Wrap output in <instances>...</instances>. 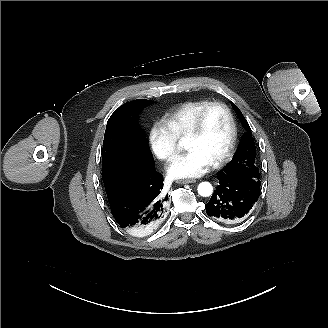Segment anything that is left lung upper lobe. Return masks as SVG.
I'll use <instances>...</instances> for the list:
<instances>
[{"label": "left lung upper lobe", "mask_w": 328, "mask_h": 328, "mask_svg": "<svg viewBox=\"0 0 328 328\" xmlns=\"http://www.w3.org/2000/svg\"><path fill=\"white\" fill-rule=\"evenodd\" d=\"M232 106L239 116L241 123L248 131L237 148L233 159L222 171L225 173L245 174L259 178V170L255 161L256 149L252 138L251 129L238 107L233 103Z\"/></svg>", "instance_id": "left-lung-upper-lobe-1"}]
</instances>
